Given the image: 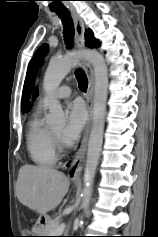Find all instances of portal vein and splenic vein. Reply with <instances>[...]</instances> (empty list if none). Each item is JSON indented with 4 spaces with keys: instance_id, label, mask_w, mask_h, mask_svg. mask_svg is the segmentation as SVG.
Returning <instances> with one entry per match:
<instances>
[{
    "instance_id": "18ae733b",
    "label": "portal vein and splenic vein",
    "mask_w": 158,
    "mask_h": 237,
    "mask_svg": "<svg viewBox=\"0 0 158 237\" xmlns=\"http://www.w3.org/2000/svg\"><path fill=\"white\" fill-rule=\"evenodd\" d=\"M64 229H65V224L63 223V224H60L59 226H58V233H62L63 231H64Z\"/></svg>"
}]
</instances>
